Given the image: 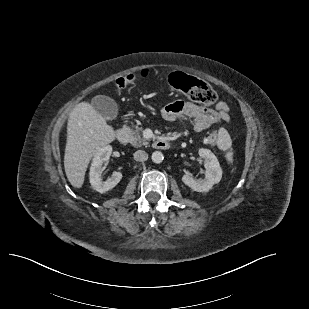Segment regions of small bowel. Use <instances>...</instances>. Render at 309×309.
<instances>
[{
    "mask_svg": "<svg viewBox=\"0 0 309 309\" xmlns=\"http://www.w3.org/2000/svg\"><path fill=\"white\" fill-rule=\"evenodd\" d=\"M161 115L167 121L186 117L191 121L195 131L202 132L214 124L229 122L230 107L225 102H219L214 109H211L179 100L163 107Z\"/></svg>",
    "mask_w": 309,
    "mask_h": 309,
    "instance_id": "obj_1",
    "label": "small bowel"
}]
</instances>
